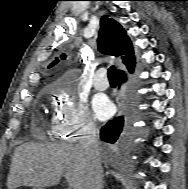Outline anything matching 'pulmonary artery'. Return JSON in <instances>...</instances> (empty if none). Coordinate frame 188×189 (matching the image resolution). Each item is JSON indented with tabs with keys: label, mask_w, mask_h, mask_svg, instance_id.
Here are the masks:
<instances>
[{
	"label": "pulmonary artery",
	"mask_w": 188,
	"mask_h": 189,
	"mask_svg": "<svg viewBox=\"0 0 188 189\" xmlns=\"http://www.w3.org/2000/svg\"><path fill=\"white\" fill-rule=\"evenodd\" d=\"M92 84L97 90H105L108 87V79L106 77L105 69H98L93 77Z\"/></svg>",
	"instance_id": "pulmonary-artery-1"
}]
</instances>
